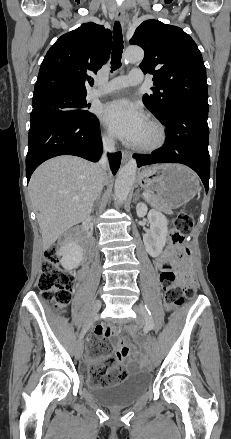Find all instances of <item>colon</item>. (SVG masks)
Instances as JSON below:
<instances>
[{"label":"colon","instance_id":"obj_1","mask_svg":"<svg viewBox=\"0 0 231 439\" xmlns=\"http://www.w3.org/2000/svg\"><path fill=\"white\" fill-rule=\"evenodd\" d=\"M193 226L192 216L186 212H179L174 218V232L171 242L179 248L177 260L174 262L179 269L176 273L171 264L165 265L160 272V281L165 291V304L168 309L175 310L183 302L184 296L193 298L196 288L188 280L185 272V261L188 252L183 248L185 233ZM38 287L41 291L40 298L44 302H53L57 310L63 309L71 299L74 287V276L62 270L56 248H50L45 252L41 274L38 279ZM131 334H136L137 328H127ZM91 352L95 355H107L110 352L109 344L102 338L93 337L90 340ZM127 376L125 368L113 365L104 370L102 366L91 368L89 374L90 383L98 386L115 385L122 382Z\"/></svg>","mask_w":231,"mask_h":439}]
</instances>
